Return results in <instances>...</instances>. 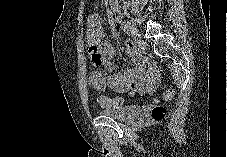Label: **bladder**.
I'll return each mask as SVG.
<instances>
[{
	"instance_id": "31cf9c89",
	"label": "bladder",
	"mask_w": 227,
	"mask_h": 157,
	"mask_svg": "<svg viewBox=\"0 0 227 157\" xmlns=\"http://www.w3.org/2000/svg\"><path fill=\"white\" fill-rule=\"evenodd\" d=\"M98 113L102 116L111 117L118 121L130 122L137 119L141 115L142 109L138 105H126L103 108L99 110Z\"/></svg>"
}]
</instances>
